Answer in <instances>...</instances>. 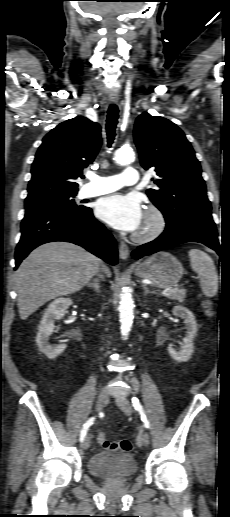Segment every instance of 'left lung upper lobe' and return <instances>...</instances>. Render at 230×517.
Segmentation results:
<instances>
[{
  "instance_id": "obj_1",
  "label": "left lung upper lobe",
  "mask_w": 230,
  "mask_h": 517,
  "mask_svg": "<svg viewBox=\"0 0 230 517\" xmlns=\"http://www.w3.org/2000/svg\"><path fill=\"white\" fill-rule=\"evenodd\" d=\"M134 140L142 167H153L157 173L153 182L158 189L147 190V195L166 222L192 212L211 211L200 163L176 124L143 113L136 119Z\"/></svg>"
}]
</instances>
